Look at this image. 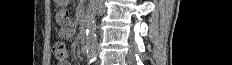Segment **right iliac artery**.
Masks as SVG:
<instances>
[{
  "label": "right iliac artery",
  "instance_id": "1",
  "mask_svg": "<svg viewBox=\"0 0 232 65\" xmlns=\"http://www.w3.org/2000/svg\"><path fill=\"white\" fill-rule=\"evenodd\" d=\"M88 61H89V63H92L95 61V58H89Z\"/></svg>",
  "mask_w": 232,
  "mask_h": 65
}]
</instances>
